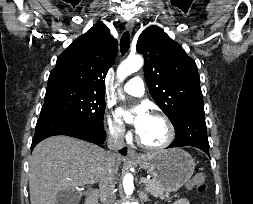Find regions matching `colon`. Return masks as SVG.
Instances as JSON below:
<instances>
[{
    "label": "colon",
    "instance_id": "5ec220e1",
    "mask_svg": "<svg viewBox=\"0 0 253 204\" xmlns=\"http://www.w3.org/2000/svg\"><path fill=\"white\" fill-rule=\"evenodd\" d=\"M205 178L206 176L204 173H197L193 176L191 184L195 186L199 192H204L206 190Z\"/></svg>",
    "mask_w": 253,
    "mask_h": 204
}]
</instances>
